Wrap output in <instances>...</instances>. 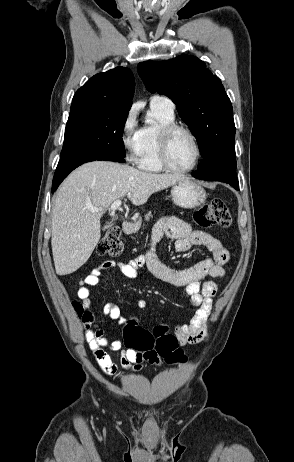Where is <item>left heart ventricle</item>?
<instances>
[{"mask_svg":"<svg viewBox=\"0 0 294 462\" xmlns=\"http://www.w3.org/2000/svg\"><path fill=\"white\" fill-rule=\"evenodd\" d=\"M195 153L194 143L186 133L179 131L174 134L169 146V159L174 167H189L195 158Z\"/></svg>","mask_w":294,"mask_h":462,"instance_id":"obj_1","label":"left heart ventricle"}]
</instances>
